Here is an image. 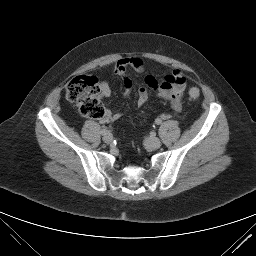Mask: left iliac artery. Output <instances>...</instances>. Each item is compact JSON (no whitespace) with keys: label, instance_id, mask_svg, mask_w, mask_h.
<instances>
[{"label":"left iliac artery","instance_id":"obj_1","mask_svg":"<svg viewBox=\"0 0 256 256\" xmlns=\"http://www.w3.org/2000/svg\"><path fill=\"white\" fill-rule=\"evenodd\" d=\"M155 123H156L157 125H159V124L162 123V120H161V119H156V120H155Z\"/></svg>","mask_w":256,"mask_h":256}]
</instances>
